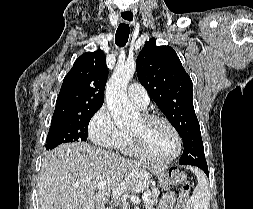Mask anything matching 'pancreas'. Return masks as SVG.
<instances>
[{"label":"pancreas","instance_id":"1","mask_svg":"<svg viewBox=\"0 0 253 209\" xmlns=\"http://www.w3.org/2000/svg\"><path fill=\"white\" fill-rule=\"evenodd\" d=\"M148 193L149 198L145 202V209H153V206L158 202L159 193L154 191H149Z\"/></svg>","mask_w":253,"mask_h":209}]
</instances>
